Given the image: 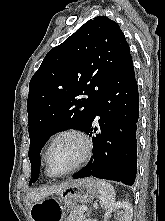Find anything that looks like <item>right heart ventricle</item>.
I'll use <instances>...</instances> for the list:
<instances>
[{
  "mask_svg": "<svg viewBox=\"0 0 165 221\" xmlns=\"http://www.w3.org/2000/svg\"><path fill=\"white\" fill-rule=\"evenodd\" d=\"M46 173L48 174V175H50L49 173H48V171L46 170Z\"/></svg>",
  "mask_w": 165,
  "mask_h": 221,
  "instance_id": "right-heart-ventricle-1",
  "label": "right heart ventricle"
}]
</instances>
